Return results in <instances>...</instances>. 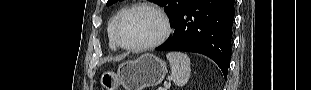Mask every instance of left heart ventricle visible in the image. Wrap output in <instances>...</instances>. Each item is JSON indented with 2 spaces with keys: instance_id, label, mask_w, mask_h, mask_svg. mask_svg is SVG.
<instances>
[{
  "instance_id": "obj_1",
  "label": "left heart ventricle",
  "mask_w": 311,
  "mask_h": 90,
  "mask_svg": "<svg viewBox=\"0 0 311 90\" xmlns=\"http://www.w3.org/2000/svg\"><path fill=\"white\" fill-rule=\"evenodd\" d=\"M162 31L159 17L147 10L130 13L121 23L119 37L126 45H143L155 40Z\"/></svg>"
}]
</instances>
